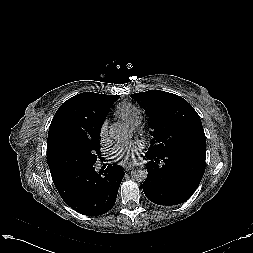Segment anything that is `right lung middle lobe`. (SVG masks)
<instances>
[{
  "instance_id": "dd1d6c3e",
  "label": "right lung middle lobe",
  "mask_w": 253,
  "mask_h": 253,
  "mask_svg": "<svg viewBox=\"0 0 253 253\" xmlns=\"http://www.w3.org/2000/svg\"><path fill=\"white\" fill-rule=\"evenodd\" d=\"M100 134L91 138L63 141L47 156L51 175L76 167L94 164L100 152Z\"/></svg>"
}]
</instances>
